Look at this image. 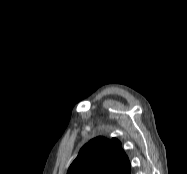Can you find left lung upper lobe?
<instances>
[{
  "mask_svg": "<svg viewBox=\"0 0 187 174\" xmlns=\"http://www.w3.org/2000/svg\"><path fill=\"white\" fill-rule=\"evenodd\" d=\"M120 141L97 137L85 144L67 174H130V162Z\"/></svg>",
  "mask_w": 187,
  "mask_h": 174,
  "instance_id": "obj_1",
  "label": "left lung upper lobe"
}]
</instances>
